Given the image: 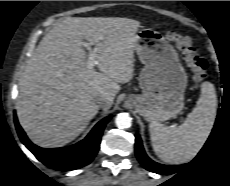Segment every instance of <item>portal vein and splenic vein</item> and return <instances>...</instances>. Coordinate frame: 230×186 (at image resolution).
<instances>
[{
  "instance_id": "1",
  "label": "portal vein and splenic vein",
  "mask_w": 230,
  "mask_h": 186,
  "mask_svg": "<svg viewBox=\"0 0 230 186\" xmlns=\"http://www.w3.org/2000/svg\"><path fill=\"white\" fill-rule=\"evenodd\" d=\"M83 45H84L88 50H91L90 43H83ZM96 64H97L96 56H95L94 52L91 51V52L89 53V57H88V60H87V67H88L89 69H92Z\"/></svg>"
}]
</instances>
